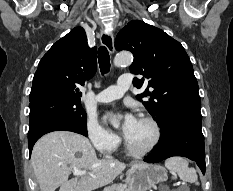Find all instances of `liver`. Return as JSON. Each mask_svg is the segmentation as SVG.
Instances as JSON below:
<instances>
[{
    "instance_id": "1",
    "label": "liver",
    "mask_w": 233,
    "mask_h": 191,
    "mask_svg": "<svg viewBox=\"0 0 233 191\" xmlns=\"http://www.w3.org/2000/svg\"><path fill=\"white\" fill-rule=\"evenodd\" d=\"M31 165L40 191H93L114 181L126 168L119 161L99 160L90 141L70 131H54L34 145ZM75 170L87 174L68 180Z\"/></svg>"
}]
</instances>
